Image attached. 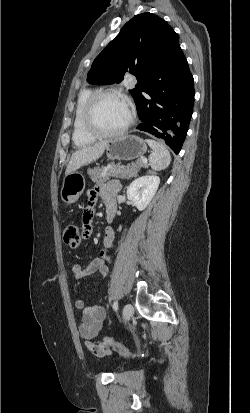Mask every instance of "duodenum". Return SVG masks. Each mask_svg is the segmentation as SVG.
<instances>
[{
    "instance_id": "410a0bca",
    "label": "duodenum",
    "mask_w": 250,
    "mask_h": 413,
    "mask_svg": "<svg viewBox=\"0 0 250 413\" xmlns=\"http://www.w3.org/2000/svg\"><path fill=\"white\" fill-rule=\"evenodd\" d=\"M115 217V210L112 208H108L106 210V218L108 222H112L114 220Z\"/></svg>"
}]
</instances>
